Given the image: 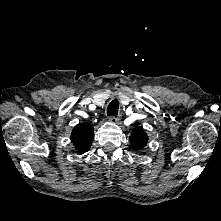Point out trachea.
Listing matches in <instances>:
<instances>
[{
	"label": "trachea",
	"instance_id": "trachea-1",
	"mask_svg": "<svg viewBox=\"0 0 221 221\" xmlns=\"http://www.w3.org/2000/svg\"><path fill=\"white\" fill-rule=\"evenodd\" d=\"M119 109V102L117 99L111 101V103L107 107V115L108 116H117Z\"/></svg>",
	"mask_w": 221,
	"mask_h": 221
}]
</instances>
